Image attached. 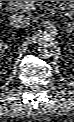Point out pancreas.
Returning <instances> with one entry per match:
<instances>
[{"label": "pancreas", "mask_w": 74, "mask_h": 122, "mask_svg": "<svg viewBox=\"0 0 74 122\" xmlns=\"http://www.w3.org/2000/svg\"><path fill=\"white\" fill-rule=\"evenodd\" d=\"M35 2L36 1H10V4L17 10L27 11V10H31L34 7ZM70 5L71 4L67 3V2L62 3L63 10L69 9L68 14H72V12L70 11V9H71Z\"/></svg>", "instance_id": "pancreas-1"}]
</instances>
